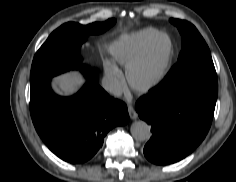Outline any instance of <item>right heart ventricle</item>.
Instances as JSON below:
<instances>
[{
    "mask_svg": "<svg viewBox=\"0 0 236 182\" xmlns=\"http://www.w3.org/2000/svg\"><path fill=\"white\" fill-rule=\"evenodd\" d=\"M157 34V29L147 27L120 36L111 48L112 60L123 67H127L144 52Z\"/></svg>",
    "mask_w": 236,
    "mask_h": 182,
    "instance_id": "1",
    "label": "right heart ventricle"
}]
</instances>
